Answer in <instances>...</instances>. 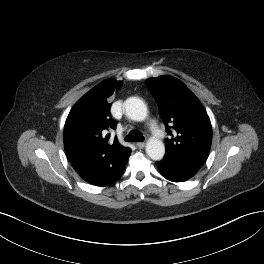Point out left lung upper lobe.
<instances>
[{
    "instance_id": "1",
    "label": "left lung upper lobe",
    "mask_w": 264,
    "mask_h": 264,
    "mask_svg": "<svg viewBox=\"0 0 264 264\" xmlns=\"http://www.w3.org/2000/svg\"><path fill=\"white\" fill-rule=\"evenodd\" d=\"M146 84L171 136L165 139L164 159L200 168L208 158L212 142L211 123L201 102L183 82L171 76L150 78Z\"/></svg>"
}]
</instances>
